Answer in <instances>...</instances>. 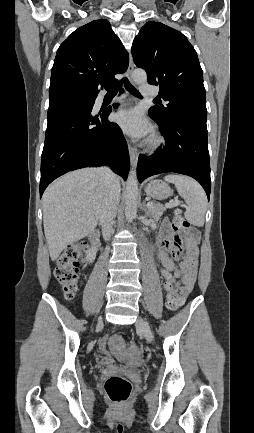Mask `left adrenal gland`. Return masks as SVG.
Here are the masks:
<instances>
[{"label": "left adrenal gland", "instance_id": "left-adrenal-gland-1", "mask_svg": "<svg viewBox=\"0 0 254 433\" xmlns=\"http://www.w3.org/2000/svg\"><path fill=\"white\" fill-rule=\"evenodd\" d=\"M143 210H144V212L146 213V214H148V210H147V208H146V205H145V202H143Z\"/></svg>", "mask_w": 254, "mask_h": 433}]
</instances>
